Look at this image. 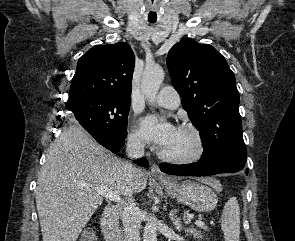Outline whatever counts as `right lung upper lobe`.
Returning <instances> with one entry per match:
<instances>
[{
    "mask_svg": "<svg viewBox=\"0 0 295 241\" xmlns=\"http://www.w3.org/2000/svg\"><path fill=\"white\" fill-rule=\"evenodd\" d=\"M134 66L129 44L94 46L78 60L66 106L85 100L130 101Z\"/></svg>",
    "mask_w": 295,
    "mask_h": 241,
    "instance_id": "obj_1",
    "label": "right lung upper lobe"
}]
</instances>
